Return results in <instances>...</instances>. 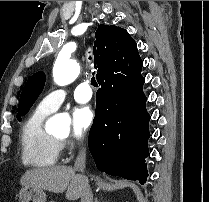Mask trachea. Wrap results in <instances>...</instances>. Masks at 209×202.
I'll return each instance as SVG.
<instances>
[{
    "instance_id": "1",
    "label": "trachea",
    "mask_w": 209,
    "mask_h": 202,
    "mask_svg": "<svg viewBox=\"0 0 209 202\" xmlns=\"http://www.w3.org/2000/svg\"><path fill=\"white\" fill-rule=\"evenodd\" d=\"M90 59H91V58H90ZM90 82H91V85H92L93 87H98V84H97V82H96L95 77H92Z\"/></svg>"
}]
</instances>
